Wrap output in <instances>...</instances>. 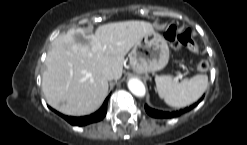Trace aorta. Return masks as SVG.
<instances>
[{"label": "aorta", "instance_id": "obj_1", "mask_svg": "<svg viewBox=\"0 0 247 145\" xmlns=\"http://www.w3.org/2000/svg\"><path fill=\"white\" fill-rule=\"evenodd\" d=\"M128 88L137 97H143L146 93L144 84L137 78H131L128 81Z\"/></svg>", "mask_w": 247, "mask_h": 145}]
</instances>
